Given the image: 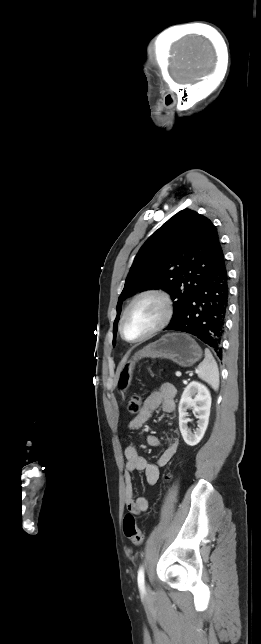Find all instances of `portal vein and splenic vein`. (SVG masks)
<instances>
[{
    "instance_id": "obj_1",
    "label": "portal vein and splenic vein",
    "mask_w": 261,
    "mask_h": 644,
    "mask_svg": "<svg viewBox=\"0 0 261 644\" xmlns=\"http://www.w3.org/2000/svg\"><path fill=\"white\" fill-rule=\"evenodd\" d=\"M176 376H177V377H180V376H181V372L177 371V372H176Z\"/></svg>"
}]
</instances>
